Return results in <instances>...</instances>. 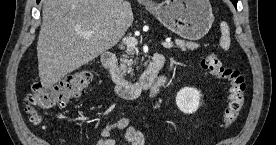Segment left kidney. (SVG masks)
Instances as JSON below:
<instances>
[{"label":"left kidney","mask_w":276,"mask_h":145,"mask_svg":"<svg viewBox=\"0 0 276 145\" xmlns=\"http://www.w3.org/2000/svg\"><path fill=\"white\" fill-rule=\"evenodd\" d=\"M201 94L195 88H182L176 96V105L185 114L195 113L200 104Z\"/></svg>","instance_id":"5707ae66"}]
</instances>
